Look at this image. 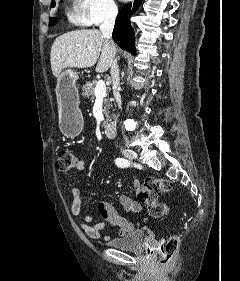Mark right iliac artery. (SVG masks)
<instances>
[{
  "label": "right iliac artery",
  "mask_w": 240,
  "mask_h": 281,
  "mask_svg": "<svg viewBox=\"0 0 240 281\" xmlns=\"http://www.w3.org/2000/svg\"><path fill=\"white\" fill-rule=\"evenodd\" d=\"M115 164L120 168H126L130 166V161L123 158H116Z\"/></svg>",
  "instance_id": "right-iliac-artery-1"
}]
</instances>
